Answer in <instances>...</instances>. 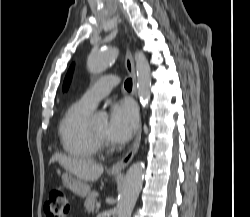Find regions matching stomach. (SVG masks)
Instances as JSON below:
<instances>
[{"instance_id":"1","label":"stomach","mask_w":250,"mask_h":217,"mask_svg":"<svg viewBox=\"0 0 250 217\" xmlns=\"http://www.w3.org/2000/svg\"><path fill=\"white\" fill-rule=\"evenodd\" d=\"M62 180L68 189L81 198H85L91 192L90 186L86 182L75 178L71 173H64Z\"/></svg>"}]
</instances>
